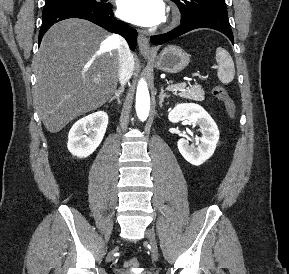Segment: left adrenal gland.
<instances>
[{
    "label": "left adrenal gland",
    "mask_w": 289,
    "mask_h": 274,
    "mask_svg": "<svg viewBox=\"0 0 289 274\" xmlns=\"http://www.w3.org/2000/svg\"><path fill=\"white\" fill-rule=\"evenodd\" d=\"M165 98H169V95H167L164 92L163 87H161V91H160V94H159V105H160V107L163 106V102H164Z\"/></svg>",
    "instance_id": "obj_1"
}]
</instances>
